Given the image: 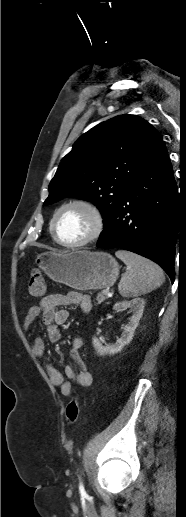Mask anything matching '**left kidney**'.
<instances>
[{
	"mask_svg": "<svg viewBox=\"0 0 186 517\" xmlns=\"http://www.w3.org/2000/svg\"><path fill=\"white\" fill-rule=\"evenodd\" d=\"M144 305L145 301L142 298H135L130 301H122L114 305L113 309L115 311L126 310L129 308L132 316L130 317L128 324L124 326L121 337L117 339L116 343L103 347L96 337L92 338V344L97 354H115L120 352L125 345L130 343V341L133 339L134 331L138 326L139 320L142 317Z\"/></svg>",
	"mask_w": 186,
	"mask_h": 517,
	"instance_id": "1",
	"label": "left kidney"
}]
</instances>
